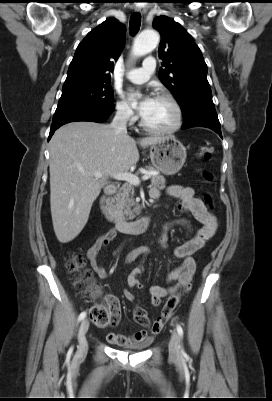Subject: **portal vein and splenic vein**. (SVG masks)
Masks as SVG:
<instances>
[{"mask_svg": "<svg viewBox=\"0 0 272 401\" xmlns=\"http://www.w3.org/2000/svg\"><path fill=\"white\" fill-rule=\"evenodd\" d=\"M94 176L96 178H101L102 177V173L101 172H95ZM113 178L119 181H126L132 185L138 186L140 184V178L132 173L129 172H121V173H115L113 174ZM150 178V174H145L144 176H142V180H148Z\"/></svg>", "mask_w": 272, "mask_h": 401, "instance_id": "portal-vein-and-splenic-vein-1", "label": "portal vein and splenic vein"}]
</instances>
